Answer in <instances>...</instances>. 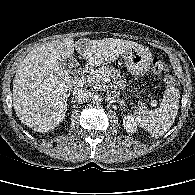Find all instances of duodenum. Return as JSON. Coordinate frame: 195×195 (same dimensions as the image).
<instances>
[{
  "instance_id": "410a0bca",
  "label": "duodenum",
  "mask_w": 195,
  "mask_h": 195,
  "mask_svg": "<svg viewBox=\"0 0 195 195\" xmlns=\"http://www.w3.org/2000/svg\"><path fill=\"white\" fill-rule=\"evenodd\" d=\"M90 66L89 65H86L85 67H83V69L81 70V72H80V75H79V79H78V81H77V86L79 87V86H81V84H82V79H83V77H84V75L90 70Z\"/></svg>"
}]
</instances>
